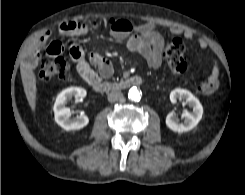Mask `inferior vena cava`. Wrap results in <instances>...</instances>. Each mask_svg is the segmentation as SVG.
Wrapping results in <instances>:
<instances>
[{
	"label": "inferior vena cava",
	"mask_w": 245,
	"mask_h": 195,
	"mask_svg": "<svg viewBox=\"0 0 245 195\" xmlns=\"http://www.w3.org/2000/svg\"><path fill=\"white\" fill-rule=\"evenodd\" d=\"M108 101L109 102H117V101H121L124 99L123 97V93L121 91H111L109 94H108Z\"/></svg>",
	"instance_id": "inferior-vena-cava-1"
}]
</instances>
